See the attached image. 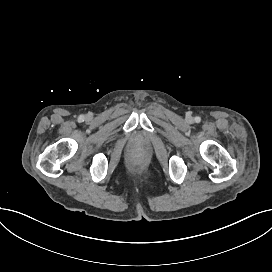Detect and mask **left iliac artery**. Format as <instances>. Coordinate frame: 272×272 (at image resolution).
<instances>
[{
	"mask_svg": "<svg viewBox=\"0 0 272 272\" xmlns=\"http://www.w3.org/2000/svg\"><path fill=\"white\" fill-rule=\"evenodd\" d=\"M195 121L198 123L201 121V118L197 116V117H195Z\"/></svg>",
	"mask_w": 272,
	"mask_h": 272,
	"instance_id": "44dca946",
	"label": "left iliac artery"
}]
</instances>
